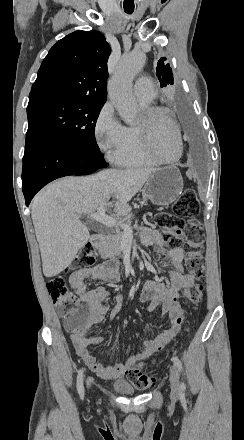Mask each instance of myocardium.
<instances>
[{
	"label": "myocardium",
	"mask_w": 244,
	"mask_h": 440,
	"mask_svg": "<svg viewBox=\"0 0 244 440\" xmlns=\"http://www.w3.org/2000/svg\"><path fill=\"white\" fill-rule=\"evenodd\" d=\"M161 116H163V118L165 119V123H169V126L172 127V129L175 131L177 135L176 154L174 155V157L170 159H164L158 153L153 154L152 146H149L150 144L148 143L149 139L147 137L150 135L149 133L152 131L150 128H148V126L150 124H157L156 120L158 117ZM170 118L171 115L167 114L166 110H163L160 107H149L144 110L142 114L141 123L136 124V127L143 131L141 133L142 147H147L148 154H153V157L156 160V162L161 165H173L177 163L181 157V151H182L181 134L178 128L175 126V122H171L172 120Z\"/></svg>",
	"instance_id": "myocardium-1"
}]
</instances>
